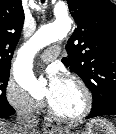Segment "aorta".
<instances>
[{
  "label": "aorta",
  "instance_id": "762f6f07",
  "mask_svg": "<svg viewBox=\"0 0 116 134\" xmlns=\"http://www.w3.org/2000/svg\"><path fill=\"white\" fill-rule=\"evenodd\" d=\"M72 20L61 17L53 23L42 26L18 52L14 63V77L18 85L31 95L43 92L44 80H38L32 71L31 60L43 47L63 39L71 28Z\"/></svg>",
  "mask_w": 116,
  "mask_h": 134
}]
</instances>
